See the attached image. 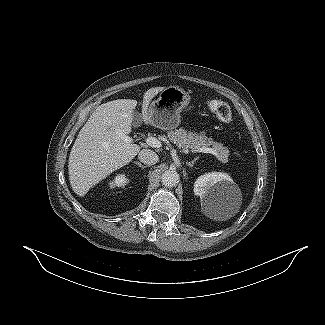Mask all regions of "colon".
<instances>
[{"instance_id": "1", "label": "colon", "mask_w": 325, "mask_h": 325, "mask_svg": "<svg viewBox=\"0 0 325 325\" xmlns=\"http://www.w3.org/2000/svg\"><path fill=\"white\" fill-rule=\"evenodd\" d=\"M209 109L223 123H230L232 120V112L228 104L220 100H210L208 103Z\"/></svg>"}]
</instances>
